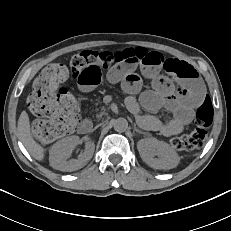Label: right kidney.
I'll use <instances>...</instances> for the list:
<instances>
[{
	"label": "right kidney",
	"mask_w": 231,
	"mask_h": 231,
	"mask_svg": "<svg viewBox=\"0 0 231 231\" xmlns=\"http://www.w3.org/2000/svg\"><path fill=\"white\" fill-rule=\"evenodd\" d=\"M78 142V136H70L57 141L49 151L50 165L54 169L66 172L76 171L84 167L93 156L95 144L93 141L86 142L84 152L77 159L67 161Z\"/></svg>",
	"instance_id": "obj_1"
}]
</instances>
